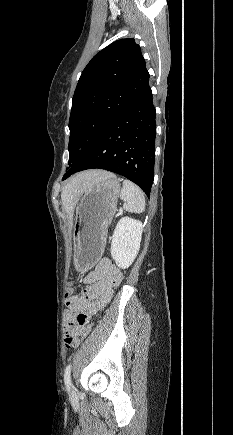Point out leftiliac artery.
Returning a JSON list of instances; mask_svg holds the SVG:
<instances>
[{"label":"left iliac artery","mask_w":233,"mask_h":435,"mask_svg":"<svg viewBox=\"0 0 233 435\" xmlns=\"http://www.w3.org/2000/svg\"><path fill=\"white\" fill-rule=\"evenodd\" d=\"M70 373H71V365H68L64 371V382L68 390L70 389V385H71Z\"/></svg>","instance_id":"left-iliac-artery-1"}]
</instances>
